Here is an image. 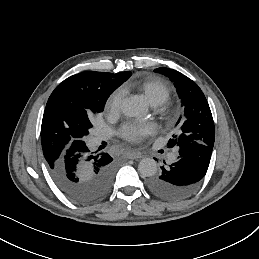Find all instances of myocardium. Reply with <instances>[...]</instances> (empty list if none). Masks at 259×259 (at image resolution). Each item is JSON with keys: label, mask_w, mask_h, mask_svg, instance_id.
<instances>
[{"label": "myocardium", "mask_w": 259, "mask_h": 259, "mask_svg": "<svg viewBox=\"0 0 259 259\" xmlns=\"http://www.w3.org/2000/svg\"><path fill=\"white\" fill-rule=\"evenodd\" d=\"M155 111L166 126H171L177 118L176 109L170 106L168 103H163L156 106Z\"/></svg>", "instance_id": "obj_1"}]
</instances>
